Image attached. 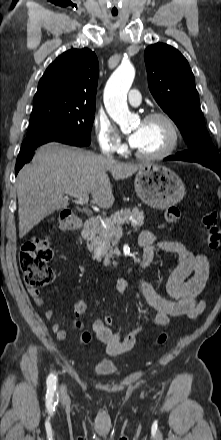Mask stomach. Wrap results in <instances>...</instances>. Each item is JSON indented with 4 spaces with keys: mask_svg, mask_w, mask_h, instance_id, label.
Returning <instances> with one entry per match:
<instances>
[{
    "mask_svg": "<svg viewBox=\"0 0 221 440\" xmlns=\"http://www.w3.org/2000/svg\"><path fill=\"white\" fill-rule=\"evenodd\" d=\"M135 191L147 205L166 209L177 204L185 195L181 178L170 168L158 164H145L135 176Z\"/></svg>",
    "mask_w": 221,
    "mask_h": 440,
    "instance_id": "1",
    "label": "stomach"
}]
</instances>
